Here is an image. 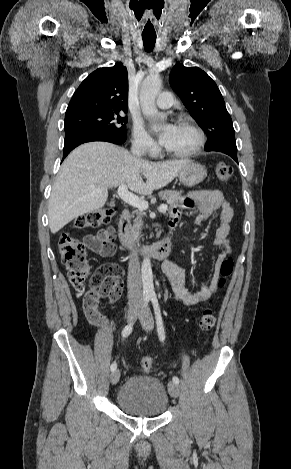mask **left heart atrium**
Returning a JSON list of instances; mask_svg holds the SVG:
<instances>
[{"mask_svg": "<svg viewBox=\"0 0 291 469\" xmlns=\"http://www.w3.org/2000/svg\"><path fill=\"white\" fill-rule=\"evenodd\" d=\"M175 131V125L167 124L160 132H159V140L160 143L166 145L169 140L171 139L173 133Z\"/></svg>", "mask_w": 291, "mask_h": 469, "instance_id": "left-heart-atrium-1", "label": "left heart atrium"}]
</instances>
